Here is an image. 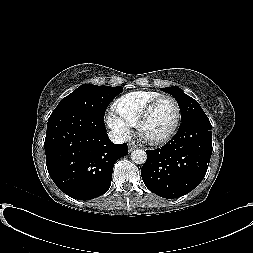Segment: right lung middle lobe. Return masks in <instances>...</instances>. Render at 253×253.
I'll return each instance as SVG.
<instances>
[{
	"label": "right lung middle lobe",
	"mask_w": 253,
	"mask_h": 253,
	"mask_svg": "<svg viewBox=\"0 0 253 253\" xmlns=\"http://www.w3.org/2000/svg\"><path fill=\"white\" fill-rule=\"evenodd\" d=\"M123 91V87L83 84L63 98L53 113L77 110L104 120V113L112 99Z\"/></svg>",
	"instance_id": "right-lung-middle-lobe-1"
}]
</instances>
